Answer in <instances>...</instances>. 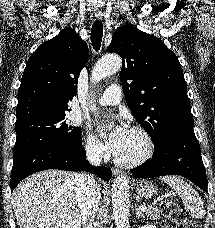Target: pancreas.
<instances>
[{
    "label": "pancreas",
    "mask_w": 215,
    "mask_h": 228,
    "mask_svg": "<svg viewBox=\"0 0 215 228\" xmlns=\"http://www.w3.org/2000/svg\"><path fill=\"white\" fill-rule=\"evenodd\" d=\"M145 218H148V220H160V212L158 208H147L145 210Z\"/></svg>",
    "instance_id": "obj_1"
}]
</instances>
